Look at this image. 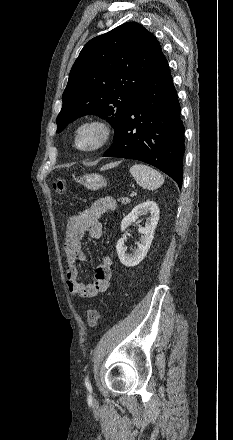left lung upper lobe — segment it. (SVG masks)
I'll use <instances>...</instances> for the list:
<instances>
[{
    "label": "left lung upper lobe",
    "mask_w": 233,
    "mask_h": 440,
    "mask_svg": "<svg viewBox=\"0 0 233 440\" xmlns=\"http://www.w3.org/2000/svg\"><path fill=\"white\" fill-rule=\"evenodd\" d=\"M161 54L154 35L136 22L90 40L70 71L57 132L83 115L96 114L112 124L116 136L133 97Z\"/></svg>",
    "instance_id": "left-lung-upper-lobe-1"
}]
</instances>
